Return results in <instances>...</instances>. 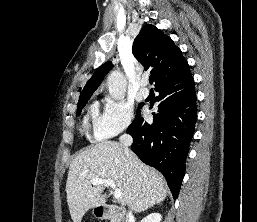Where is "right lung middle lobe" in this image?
<instances>
[{
  "instance_id": "right-lung-middle-lobe-1",
  "label": "right lung middle lobe",
  "mask_w": 257,
  "mask_h": 222,
  "mask_svg": "<svg viewBox=\"0 0 257 222\" xmlns=\"http://www.w3.org/2000/svg\"><path fill=\"white\" fill-rule=\"evenodd\" d=\"M89 98L85 99L84 101H82L80 104H78L77 108H78V115H80L82 108H84V106L86 105L87 101ZM142 107L141 104H139V109ZM139 112V111H138Z\"/></svg>"
}]
</instances>
